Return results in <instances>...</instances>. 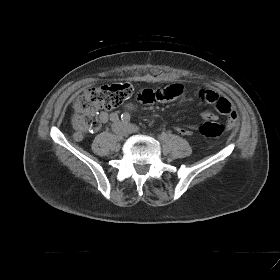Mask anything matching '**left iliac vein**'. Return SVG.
<instances>
[{
  "instance_id": "1",
  "label": "left iliac vein",
  "mask_w": 280,
  "mask_h": 280,
  "mask_svg": "<svg viewBox=\"0 0 280 280\" xmlns=\"http://www.w3.org/2000/svg\"><path fill=\"white\" fill-rule=\"evenodd\" d=\"M130 128H131V130L134 131V132L138 131V127L135 126V125H130Z\"/></svg>"
}]
</instances>
